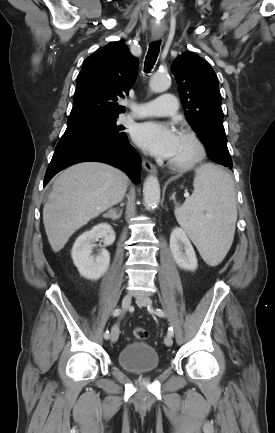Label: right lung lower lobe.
<instances>
[{"mask_svg": "<svg viewBox=\"0 0 275 433\" xmlns=\"http://www.w3.org/2000/svg\"><path fill=\"white\" fill-rule=\"evenodd\" d=\"M97 161L123 169L135 184L140 182L141 158L127 137L102 143H63L57 145L47 168L44 186L59 171L76 163Z\"/></svg>", "mask_w": 275, "mask_h": 433, "instance_id": "right-lung-lower-lobe-1", "label": "right lung lower lobe"}]
</instances>
